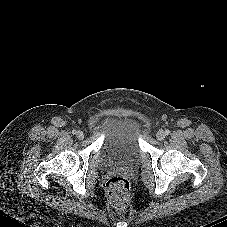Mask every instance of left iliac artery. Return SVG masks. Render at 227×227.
<instances>
[{"label":"left iliac artery","mask_w":227,"mask_h":227,"mask_svg":"<svg viewBox=\"0 0 227 227\" xmlns=\"http://www.w3.org/2000/svg\"><path fill=\"white\" fill-rule=\"evenodd\" d=\"M165 133L168 135L170 133V131L169 130H166Z\"/></svg>","instance_id":"1"}]
</instances>
